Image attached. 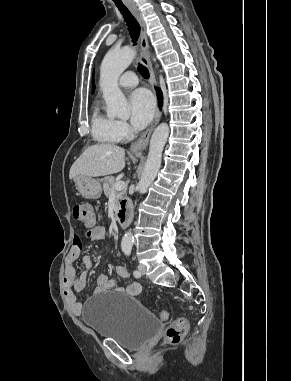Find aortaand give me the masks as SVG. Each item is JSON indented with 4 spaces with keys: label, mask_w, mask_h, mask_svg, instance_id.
<instances>
[{
    "label": "aorta",
    "mask_w": 291,
    "mask_h": 381,
    "mask_svg": "<svg viewBox=\"0 0 291 381\" xmlns=\"http://www.w3.org/2000/svg\"><path fill=\"white\" fill-rule=\"evenodd\" d=\"M135 57V50L125 47L120 50H110L105 55L100 67V87L106 102V111L110 117L127 118L129 109L127 100L118 87V78L131 64ZM169 136V126L161 123L152 134L149 152L145 167L138 183L139 193H146L149 185L155 179L162 159V151ZM131 231L124 234L121 242L123 250H130L133 246Z\"/></svg>",
    "instance_id": "1"
}]
</instances>
